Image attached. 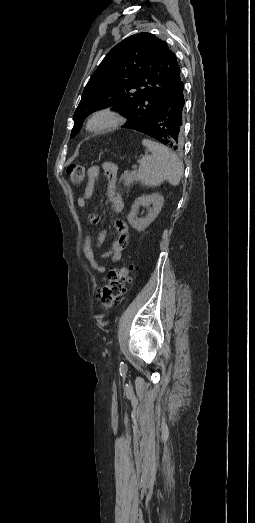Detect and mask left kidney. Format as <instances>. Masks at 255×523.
Returning <instances> with one entry per match:
<instances>
[{"instance_id": "obj_1", "label": "left kidney", "mask_w": 255, "mask_h": 523, "mask_svg": "<svg viewBox=\"0 0 255 523\" xmlns=\"http://www.w3.org/2000/svg\"><path fill=\"white\" fill-rule=\"evenodd\" d=\"M164 198L163 196H160V194H151V196H140V198H137L135 200L130 214H128V222L135 228V230H138V232H144L145 228L157 218L159 212H161V208L163 206ZM150 204H153V208H150L148 210L147 216L145 218H137V210L139 206H145V208H149Z\"/></svg>"}]
</instances>
